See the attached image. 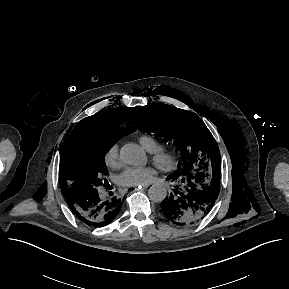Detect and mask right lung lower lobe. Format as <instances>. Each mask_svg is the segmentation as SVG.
I'll list each match as a JSON object with an SVG mask.
<instances>
[{"mask_svg": "<svg viewBox=\"0 0 289 289\" xmlns=\"http://www.w3.org/2000/svg\"><path fill=\"white\" fill-rule=\"evenodd\" d=\"M72 213L88 226L102 227L119 213L123 200L119 197L101 198L98 191L81 197L65 198Z\"/></svg>", "mask_w": 289, "mask_h": 289, "instance_id": "obj_1", "label": "right lung lower lobe"}]
</instances>
